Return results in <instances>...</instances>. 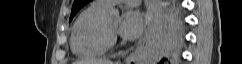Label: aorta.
<instances>
[{
	"label": "aorta",
	"instance_id": "obj_1",
	"mask_svg": "<svg viewBox=\"0 0 242 64\" xmlns=\"http://www.w3.org/2000/svg\"><path fill=\"white\" fill-rule=\"evenodd\" d=\"M108 16L115 21H118L120 19L119 11L115 8L109 10Z\"/></svg>",
	"mask_w": 242,
	"mask_h": 64
}]
</instances>
